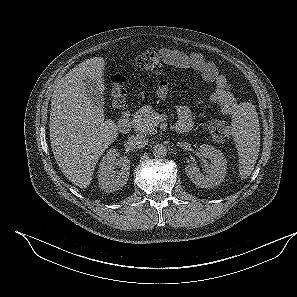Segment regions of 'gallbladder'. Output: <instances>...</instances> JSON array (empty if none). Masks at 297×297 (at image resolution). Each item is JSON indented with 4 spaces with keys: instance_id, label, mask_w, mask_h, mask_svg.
<instances>
[{
    "instance_id": "1",
    "label": "gallbladder",
    "mask_w": 297,
    "mask_h": 297,
    "mask_svg": "<svg viewBox=\"0 0 297 297\" xmlns=\"http://www.w3.org/2000/svg\"><path fill=\"white\" fill-rule=\"evenodd\" d=\"M83 83L87 97L91 99L96 106L103 110L104 96L97 81L86 78Z\"/></svg>"
}]
</instances>
